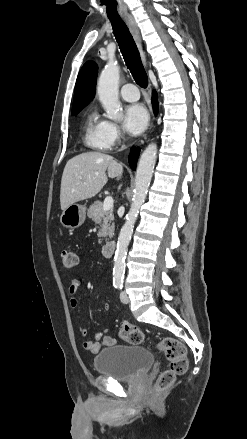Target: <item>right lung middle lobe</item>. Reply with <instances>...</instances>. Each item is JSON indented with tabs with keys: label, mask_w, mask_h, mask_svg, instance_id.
Returning a JSON list of instances; mask_svg holds the SVG:
<instances>
[{
	"label": "right lung middle lobe",
	"mask_w": 247,
	"mask_h": 439,
	"mask_svg": "<svg viewBox=\"0 0 247 439\" xmlns=\"http://www.w3.org/2000/svg\"><path fill=\"white\" fill-rule=\"evenodd\" d=\"M81 110H82V109H79V110L73 111V112H72V115H76V114H78Z\"/></svg>",
	"instance_id": "dd1d6c3e"
}]
</instances>
